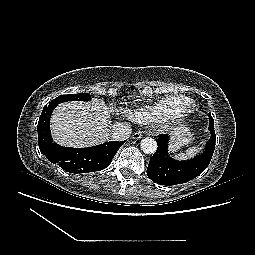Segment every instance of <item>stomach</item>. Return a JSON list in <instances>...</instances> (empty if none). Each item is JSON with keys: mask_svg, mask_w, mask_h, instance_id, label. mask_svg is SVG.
<instances>
[{"mask_svg": "<svg viewBox=\"0 0 255 255\" xmlns=\"http://www.w3.org/2000/svg\"><path fill=\"white\" fill-rule=\"evenodd\" d=\"M170 135V150L173 152L178 151L181 147L193 141V134L190 132V129L184 125L175 127Z\"/></svg>", "mask_w": 255, "mask_h": 255, "instance_id": "obj_1", "label": "stomach"}]
</instances>
